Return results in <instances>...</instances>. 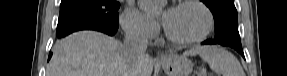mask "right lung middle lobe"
I'll list each match as a JSON object with an SVG mask.
<instances>
[{"label": "right lung middle lobe", "mask_w": 287, "mask_h": 76, "mask_svg": "<svg viewBox=\"0 0 287 76\" xmlns=\"http://www.w3.org/2000/svg\"><path fill=\"white\" fill-rule=\"evenodd\" d=\"M116 0H62L57 36L83 27H119Z\"/></svg>", "instance_id": "1"}]
</instances>
